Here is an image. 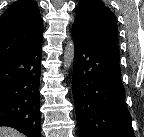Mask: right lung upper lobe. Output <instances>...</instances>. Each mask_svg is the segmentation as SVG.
<instances>
[{"mask_svg":"<svg viewBox=\"0 0 144 137\" xmlns=\"http://www.w3.org/2000/svg\"><path fill=\"white\" fill-rule=\"evenodd\" d=\"M33 0H18L0 17V60L42 39L43 22Z\"/></svg>","mask_w":144,"mask_h":137,"instance_id":"right-lung-upper-lobe-1","label":"right lung upper lobe"}]
</instances>
